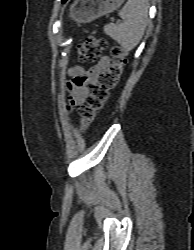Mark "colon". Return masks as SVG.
I'll return each instance as SVG.
<instances>
[{
    "label": "colon",
    "instance_id": "obj_1",
    "mask_svg": "<svg viewBox=\"0 0 194 250\" xmlns=\"http://www.w3.org/2000/svg\"><path fill=\"white\" fill-rule=\"evenodd\" d=\"M108 47L103 38L93 36L78 46V55L81 62H93ZM112 62L103 70L97 81L91 84L86 103L79 108L80 131L84 132L93 122L108 101L111 92L117 86L123 68L126 64V50L121 46H114L111 51Z\"/></svg>",
    "mask_w": 194,
    "mask_h": 250
}]
</instances>
